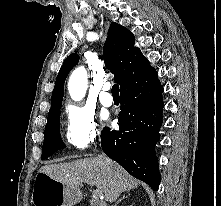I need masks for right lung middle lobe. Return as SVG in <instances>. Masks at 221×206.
Segmentation results:
<instances>
[{
    "instance_id": "right-lung-middle-lobe-1",
    "label": "right lung middle lobe",
    "mask_w": 221,
    "mask_h": 206,
    "mask_svg": "<svg viewBox=\"0 0 221 206\" xmlns=\"http://www.w3.org/2000/svg\"><path fill=\"white\" fill-rule=\"evenodd\" d=\"M60 107L48 114V121L45 126L44 143L41 159H46L57 150L65 148L59 130Z\"/></svg>"
}]
</instances>
